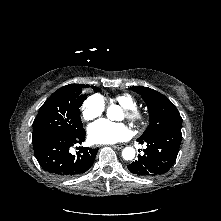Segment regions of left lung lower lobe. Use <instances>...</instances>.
<instances>
[{"label": "left lung lower lobe", "instance_id": "1", "mask_svg": "<svg viewBox=\"0 0 221 221\" xmlns=\"http://www.w3.org/2000/svg\"><path fill=\"white\" fill-rule=\"evenodd\" d=\"M182 139L181 132L161 131L146 138H139V144H147L144 155L127 167L139 176H156L169 171L177 157Z\"/></svg>", "mask_w": 221, "mask_h": 221}]
</instances>
